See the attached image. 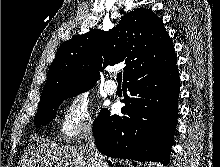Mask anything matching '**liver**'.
Instances as JSON below:
<instances>
[{"instance_id": "liver-1", "label": "liver", "mask_w": 220, "mask_h": 167, "mask_svg": "<svg viewBox=\"0 0 220 167\" xmlns=\"http://www.w3.org/2000/svg\"><path fill=\"white\" fill-rule=\"evenodd\" d=\"M17 167H95L84 146L59 145L37 140L18 162Z\"/></svg>"}]
</instances>
